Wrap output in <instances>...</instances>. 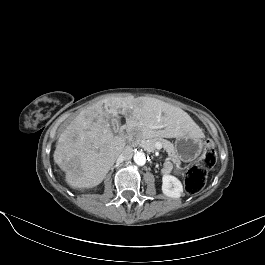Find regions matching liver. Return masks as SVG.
Here are the masks:
<instances>
[{
  "label": "liver",
  "mask_w": 265,
  "mask_h": 265,
  "mask_svg": "<svg viewBox=\"0 0 265 265\" xmlns=\"http://www.w3.org/2000/svg\"><path fill=\"white\" fill-rule=\"evenodd\" d=\"M122 114L127 126L139 127L147 136L203 137L199 126L179 107L155 98L108 97L82 110L61 133L54 151L55 163L72 188L99 185L125 148L115 136L111 117Z\"/></svg>",
  "instance_id": "liver-1"
}]
</instances>
